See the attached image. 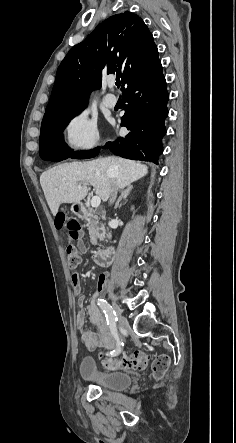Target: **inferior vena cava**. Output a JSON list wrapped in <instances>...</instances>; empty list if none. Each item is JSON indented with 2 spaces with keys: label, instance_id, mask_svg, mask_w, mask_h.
<instances>
[{
  "label": "inferior vena cava",
  "instance_id": "obj_1",
  "mask_svg": "<svg viewBox=\"0 0 236 443\" xmlns=\"http://www.w3.org/2000/svg\"><path fill=\"white\" fill-rule=\"evenodd\" d=\"M110 174H112L113 173V169H109V171H108ZM116 195H117V191H116V189H114L113 191H112V194H111V197H110V203H112L114 200H115V198H116Z\"/></svg>",
  "mask_w": 236,
  "mask_h": 443
}]
</instances>
